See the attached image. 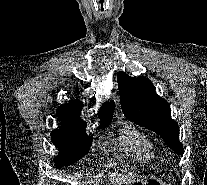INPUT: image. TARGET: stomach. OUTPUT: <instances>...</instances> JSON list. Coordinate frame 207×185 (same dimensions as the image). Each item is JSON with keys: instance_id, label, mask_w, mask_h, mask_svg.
Listing matches in <instances>:
<instances>
[{"instance_id": "obj_1", "label": "stomach", "mask_w": 207, "mask_h": 185, "mask_svg": "<svg viewBox=\"0 0 207 185\" xmlns=\"http://www.w3.org/2000/svg\"><path fill=\"white\" fill-rule=\"evenodd\" d=\"M134 185H165L156 178H147L133 183Z\"/></svg>"}]
</instances>
